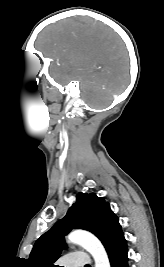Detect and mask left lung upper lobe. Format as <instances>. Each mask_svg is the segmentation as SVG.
<instances>
[{"label": "left lung upper lobe", "instance_id": "obj_1", "mask_svg": "<svg viewBox=\"0 0 164 267\" xmlns=\"http://www.w3.org/2000/svg\"><path fill=\"white\" fill-rule=\"evenodd\" d=\"M119 226L118 217L103 197L79 193L66 216L36 241L28 263L30 267H55L53 263L66 247L64 236L74 228L90 231L104 243Z\"/></svg>", "mask_w": 164, "mask_h": 267}]
</instances>
